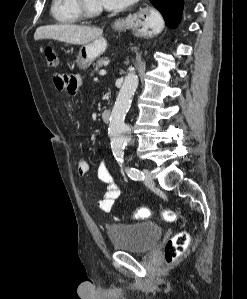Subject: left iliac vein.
Here are the masks:
<instances>
[{"label": "left iliac vein", "mask_w": 247, "mask_h": 299, "mask_svg": "<svg viewBox=\"0 0 247 299\" xmlns=\"http://www.w3.org/2000/svg\"><path fill=\"white\" fill-rule=\"evenodd\" d=\"M143 174H144V179H143L144 184L148 187H153L154 180H153L151 172L148 169H144Z\"/></svg>", "instance_id": "1"}]
</instances>
